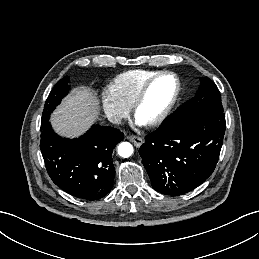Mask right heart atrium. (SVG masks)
I'll list each match as a JSON object with an SVG mask.
<instances>
[{
    "mask_svg": "<svg viewBox=\"0 0 259 259\" xmlns=\"http://www.w3.org/2000/svg\"><path fill=\"white\" fill-rule=\"evenodd\" d=\"M101 102L107 117L114 123H120L129 115L130 108L122 103L110 90L103 91Z\"/></svg>",
    "mask_w": 259,
    "mask_h": 259,
    "instance_id": "right-heart-atrium-1",
    "label": "right heart atrium"
}]
</instances>
